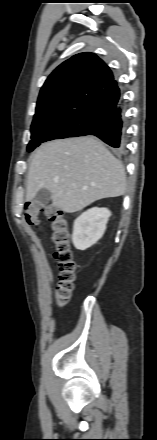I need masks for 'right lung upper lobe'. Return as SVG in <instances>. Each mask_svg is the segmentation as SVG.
<instances>
[{
    "label": "right lung upper lobe",
    "mask_w": 157,
    "mask_h": 440,
    "mask_svg": "<svg viewBox=\"0 0 157 440\" xmlns=\"http://www.w3.org/2000/svg\"><path fill=\"white\" fill-rule=\"evenodd\" d=\"M120 102V90L109 67L93 53H80L47 78L33 122L72 120L87 126Z\"/></svg>",
    "instance_id": "cb5924a9"
}]
</instances>
